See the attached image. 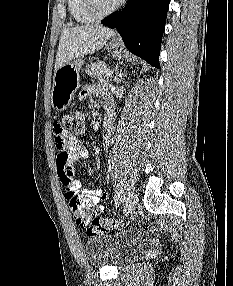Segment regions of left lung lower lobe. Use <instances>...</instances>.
<instances>
[{
	"instance_id": "obj_1",
	"label": "left lung lower lobe",
	"mask_w": 233,
	"mask_h": 286,
	"mask_svg": "<svg viewBox=\"0 0 233 286\" xmlns=\"http://www.w3.org/2000/svg\"><path fill=\"white\" fill-rule=\"evenodd\" d=\"M169 0H128L101 23L116 28L125 46L150 65L159 68V54Z\"/></svg>"
}]
</instances>
